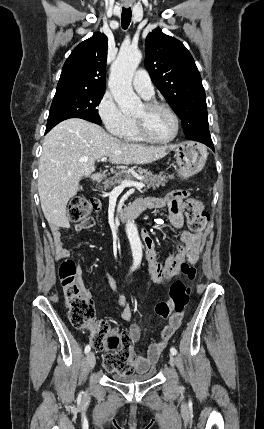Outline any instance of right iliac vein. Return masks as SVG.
I'll return each mask as SVG.
<instances>
[{
    "label": "right iliac vein",
    "instance_id": "right-iliac-vein-1",
    "mask_svg": "<svg viewBox=\"0 0 264 429\" xmlns=\"http://www.w3.org/2000/svg\"><path fill=\"white\" fill-rule=\"evenodd\" d=\"M86 360H87L88 367L92 370L96 364L95 354L93 352H89L87 354Z\"/></svg>",
    "mask_w": 264,
    "mask_h": 429
}]
</instances>
